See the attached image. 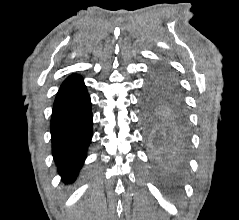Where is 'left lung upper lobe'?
Instances as JSON below:
<instances>
[{"label": "left lung upper lobe", "mask_w": 239, "mask_h": 220, "mask_svg": "<svg viewBox=\"0 0 239 220\" xmlns=\"http://www.w3.org/2000/svg\"><path fill=\"white\" fill-rule=\"evenodd\" d=\"M143 121L149 130L164 124L174 111L184 110L173 71L158 65L153 69L142 99Z\"/></svg>", "instance_id": "left-lung-upper-lobe-1"}]
</instances>
